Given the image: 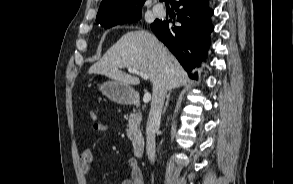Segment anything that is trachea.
Segmentation results:
<instances>
[{"label": "trachea", "mask_w": 293, "mask_h": 184, "mask_svg": "<svg viewBox=\"0 0 293 184\" xmlns=\"http://www.w3.org/2000/svg\"><path fill=\"white\" fill-rule=\"evenodd\" d=\"M160 1H161V2H162V1H165V3L168 4V0H160Z\"/></svg>", "instance_id": "3493384b"}]
</instances>
